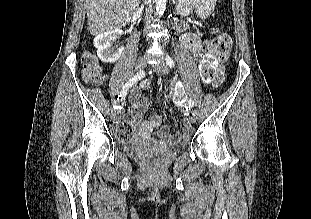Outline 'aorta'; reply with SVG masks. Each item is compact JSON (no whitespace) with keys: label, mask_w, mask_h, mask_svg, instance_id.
I'll return each mask as SVG.
<instances>
[{"label":"aorta","mask_w":311,"mask_h":219,"mask_svg":"<svg viewBox=\"0 0 311 219\" xmlns=\"http://www.w3.org/2000/svg\"><path fill=\"white\" fill-rule=\"evenodd\" d=\"M167 0H155L156 12L158 15H163L166 9Z\"/></svg>","instance_id":"1"}]
</instances>
